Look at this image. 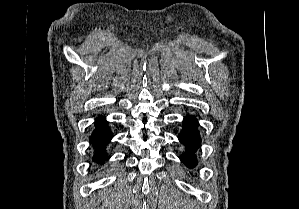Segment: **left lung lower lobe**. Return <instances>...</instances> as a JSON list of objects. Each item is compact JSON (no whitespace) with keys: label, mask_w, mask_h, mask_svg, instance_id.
<instances>
[{"label":"left lung lower lobe","mask_w":299,"mask_h":209,"mask_svg":"<svg viewBox=\"0 0 299 209\" xmlns=\"http://www.w3.org/2000/svg\"><path fill=\"white\" fill-rule=\"evenodd\" d=\"M179 140L186 147V153L181 156V161L189 168L195 167L197 158L194 152L199 147L201 138L198 131V121L194 116L190 115L184 118V127L179 135Z\"/></svg>","instance_id":"left-lung-lower-lobe-1"}]
</instances>
